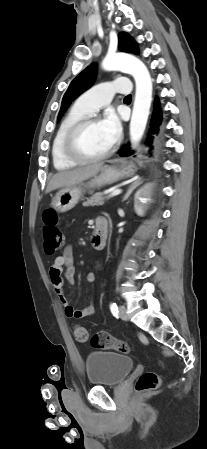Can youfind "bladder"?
<instances>
[{
  "label": "bladder",
  "mask_w": 207,
  "mask_h": 449,
  "mask_svg": "<svg viewBox=\"0 0 207 449\" xmlns=\"http://www.w3.org/2000/svg\"><path fill=\"white\" fill-rule=\"evenodd\" d=\"M134 366L131 357L116 352H90L85 358L87 379L93 386H117Z\"/></svg>",
  "instance_id": "31cf9c89"
}]
</instances>
